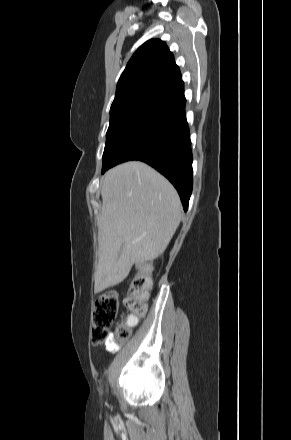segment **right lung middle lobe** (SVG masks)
<instances>
[{
	"instance_id": "right-lung-middle-lobe-1",
	"label": "right lung middle lobe",
	"mask_w": 291,
	"mask_h": 440,
	"mask_svg": "<svg viewBox=\"0 0 291 440\" xmlns=\"http://www.w3.org/2000/svg\"><path fill=\"white\" fill-rule=\"evenodd\" d=\"M153 100L152 98H135L112 104L110 125L103 153L102 173L108 169L112 157L135 129Z\"/></svg>"
}]
</instances>
